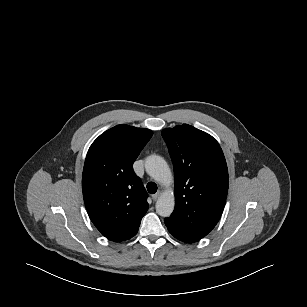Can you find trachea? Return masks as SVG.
Instances as JSON below:
<instances>
[{"label": "trachea", "instance_id": "trachea-1", "mask_svg": "<svg viewBox=\"0 0 307 307\" xmlns=\"http://www.w3.org/2000/svg\"><path fill=\"white\" fill-rule=\"evenodd\" d=\"M147 190L150 194H154L157 191V185L154 182H149L147 184Z\"/></svg>", "mask_w": 307, "mask_h": 307}]
</instances>
